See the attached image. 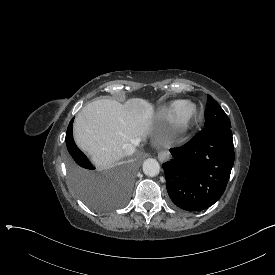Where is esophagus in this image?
Returning <instances> with one entry per match:
<instances>
[{
    "mask_svg": "<svg viewBox=\"0 0 275 275\" xmlns=\"http://www.w3.org/2000/svg\"><path fill=\"white\" fill-rule=\"evenodd\" d=\"M147 156H148L147 153H143V157H147ZM160 156H161V153L158 154L159 159H160ZM166 157H167V156H166Z\"/></svg>",
    "mask_w": 275,
    "mask_h": 275,
    "instance_id": "esophagus-1",
    "label": "esophagus"
}]
</instances>
